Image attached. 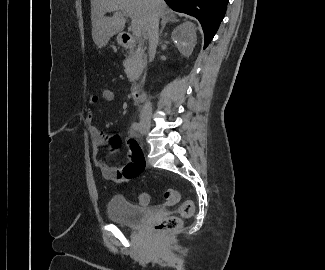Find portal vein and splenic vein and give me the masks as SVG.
<instances>
[{"label":"portal vein and splenic vein","mask_w":325,"mask_h":270,"mask_svg":"<svg viewBox=\"0 0 325 270\" xmlns=\"http://www.w3.org/2000/svg\"><path fill=\"white\" fill-rule=\"evenodd\" d=\"M117 10H119V8H118V7H115V8H111V9L109 10V12H110V11H117ZM121 10H122V9H121ZM128 16H129V15H128ZM129 17H130V16H129ZM131 29H132V31H133V34H134L137 38H141V30H140L139 26L136 24L135 21H132Z\"/></svg>","instance_id":"obj_1"}]
</instances>
